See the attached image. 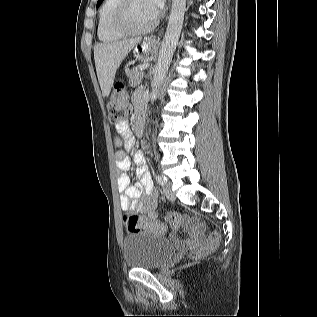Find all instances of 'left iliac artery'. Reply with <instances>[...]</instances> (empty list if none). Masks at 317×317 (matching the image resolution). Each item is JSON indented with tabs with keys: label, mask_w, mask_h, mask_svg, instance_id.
Listing matches in <instances>:
<instances>
[{
	"label": "left iliac artery",
	"mask_w": 317,
	"mask_h": 317,
	"mask_svg": "<svg viewBox=\"0 0 317 317\" xmlns=\"http://www.w3.org/2000/svg\"><path fill=\"white\" fill-rule=\"evenodd\" d=\"M155 178H156V181H157L160 185H164V184L166 183V178L163 177V176H161V175H159V174H157V175L155 176Z\"/></svg>",
	"instance_id": "1"
}]
</instances>
